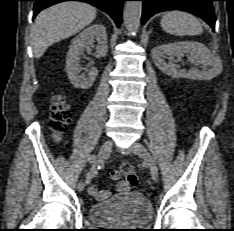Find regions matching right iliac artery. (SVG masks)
Listing matches in <instances>:
<instances>
[{
  "mask_svg": "<svg viewBox=\"0 0 234 231\" xmlns=\"http://www.w3.org/2000/svg\"><path fill=\"white\" fill-rule=\"evenodd\" d=\"M88 162L90 164H93L92 167L90 168L87 176H86V183H89L91 181V179L97 174V171L98 169H100V167L96 166L95 164V155H91L89 158H88Z\"/></svg>",
  "mask_w": 234,
  "mask_h": 231,
  "instance_id": "1",
  "label": "right iliac artery"
}]
</instances>
